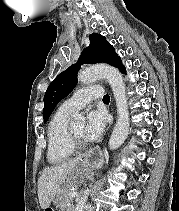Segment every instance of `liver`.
I'll return each instance as SVG.
<instances>
[{
    "mask_svg": "<svg viewBox=\"0 0 179 211\" xmlns=\"http://www.w3.org/2000/svg\"><path fill=\"white\" fill-rule=\"evenodd\" d=\"M80 158H75L61 165L47 167L38 180L39 204L43 210L47 209L54 197L62 191L66 179L73 182V175L81 166Z\"/></svg>",
    "mask_w": 179,
    "mask_h": 211,
    "instance_id": "liver-1",
    "label": "liver"
}]
</instances>
